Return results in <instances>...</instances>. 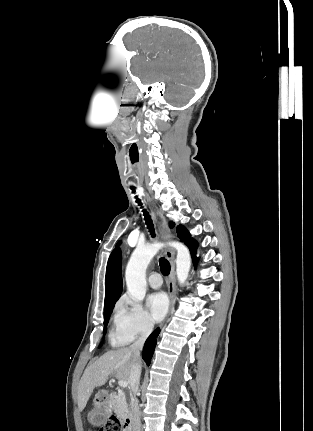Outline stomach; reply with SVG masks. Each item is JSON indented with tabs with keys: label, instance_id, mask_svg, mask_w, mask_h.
Instances as JSON below:
<instances>
[{
	"label": "stomach",
	"instance_id": "stomach-1",
	"mask_svg": "<svg viewBox=\"0 0 313 431\" xmlns=\"http://www.w3.org/2000/svg\"><path fill=\"white\" fill-rule=\"evenodd\" d=\"M111 400L112 396L105 390L99 391L95 395L94 408L88 415L92 424L102 425L107 421Z\"/></svg>",
	"mask_w": 313,
	"mask_h": 431
}]
</instances>
